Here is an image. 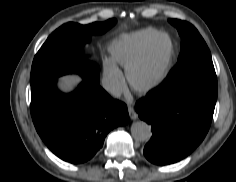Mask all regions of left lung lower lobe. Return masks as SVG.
Masks as SVG:
<instances>
[{"label": "left lung lower lobe", "instance_id": "obj_1", "mask_svg": "<svg viewBox=\"0 0 236 182\" xmlns=\"http://www.w3.org/2000/svg\"><path fill=\"white\" fill-rule=\"evenodd\" d=\"M215 104L216 98L195 93L167 96L160 90L138 101L136 111L153 133L144 147L145 157L167 165L188 156L205 138Z\"/></svg>", "mask_w": 236, "mask_h": 182}]
</instances>
